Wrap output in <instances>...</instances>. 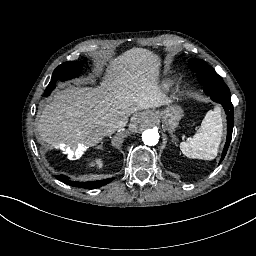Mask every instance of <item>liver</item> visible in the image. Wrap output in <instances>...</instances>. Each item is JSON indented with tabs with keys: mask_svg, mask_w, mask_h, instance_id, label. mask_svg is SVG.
Here are the masks:
<instances>
[{
	"mask_svg": "<svg viewBox=\"0 0 256 256\" xmlns=\"http://www.w3.org/2000/svg\"><path fill=\"white\" fill-rule=\"evenodd\" d=\"M158 66V58L146 49L127 51L115 60L101 87H72L67 93L56 94L40 116L39 135L53 146L91 147L114 132L109 128L121 119L126 120V116L133 114L129 127L134 128L135 118L145 117L135 112L169 104L156 87Z\"/></svg>",
	"mask_w": 256,
	"mask_h": 256,
	"instance_id": "obj_1",
	"label": "liver"
}]
</instances>
